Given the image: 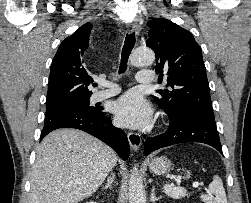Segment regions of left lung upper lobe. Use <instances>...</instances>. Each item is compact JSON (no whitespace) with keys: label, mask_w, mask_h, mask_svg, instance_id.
<instances>
[{"label":"left lung upper lobe","mask_w":251,"mask_h":203,"mask_svg":"<svg viewBox=\"0 0 251 203\" xmlns=\"http://www.w3.org/2000/svg\"><path fill=\"white\" fill-rule=\"evenodd\" d=\"M147 25L146 45L155 52L157 73L171 87L157 91L154 100L169 118L188 112L214 118L202 51L193 35L167 19L151 20Z\"/></svg>","instance_id":"left-lung-upper-lobe-1"}]
</instances>
